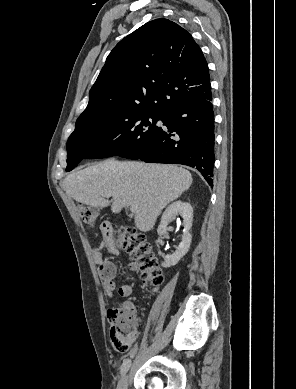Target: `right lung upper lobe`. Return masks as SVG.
<instances>
[{
    "label": "right lung upper lobe",
    "mask_w": 296,
    "mask_h": 389,
    "mask_svg": "<svg viewBox=\"0 0 296 389\" xmlns=\"http://www.w3.org/2000/svg\"><path fill=\"white\" fill-rule=\"evenodd\" d=\"M210 95L209 69L200 47L178 24L156 19L114 47L79 118L114 108L167 115Z\"/></svg>",
    "instance_id": "obj_1"
}]
</instances>
